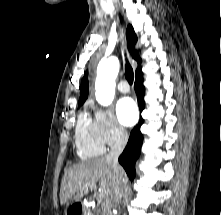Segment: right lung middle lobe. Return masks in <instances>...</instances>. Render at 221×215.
<instances>
[{
	"mask_svg": "<svg viewBox=\"0 0 221 215\" xmlns=\"http://www.w3.org/2000/svg\"><path fill=\"white\" fill-rule=\"evenodd\" d=\"M84 102H79V105H82Z\"/></svg>",
	"mask_w": 221,
	"mask_h": 215,
	"instance_id": "obj_1",
	"label": "right lung middle lobe"
}]
</instances>
